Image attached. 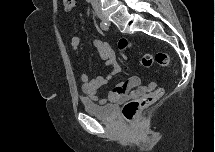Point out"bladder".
Masks as SVG:
<instances>
[{"label": "bladder", "mask_w": 215, "mask_h": 152, "mask_svg": "<svg viewBox=\"0 0 215 152\" xmlns=\"http://www.w3.org/2000/svg\"><path fill=\"white\" fill-rule=\"evenodd\" d=\"M81 104L85 111L101 119H112L115 113L113 105H100L88 97H82Z\"/></svg>", "instance_id": "obj_1"}]
</instances>
